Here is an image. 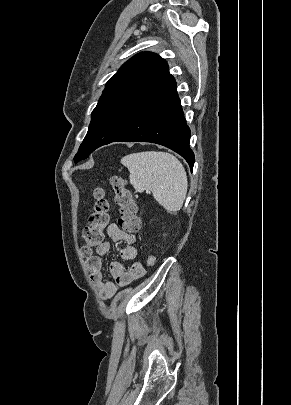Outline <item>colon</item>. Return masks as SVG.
<instances>
[{"instance_id": "colon-1", "label": "colon", "mask_w": 291, "mask_h": 405, "mask_svg": "<svg viewBox=\"0 0 291 405\" xmlns=\"http://www.w3.org/2000/svg\"><path fill=\"white\" fill-rule=\"evenodd\" d=\"M110 184L115 192V201L120 207L119 226L126 232H136L140 227L138 209L132 198L131 192L127 188L126 180L113 175L110 178ZM94 204L88 219V225L83 231L82 254L90 257L92 252L97 249L104 240V231L109 226V204L105 198L102 188H96L93 192ZM156 263V257L153 254L146 258L147 267H152Z\"/></svg>"}]
</instances>
